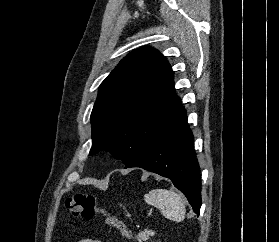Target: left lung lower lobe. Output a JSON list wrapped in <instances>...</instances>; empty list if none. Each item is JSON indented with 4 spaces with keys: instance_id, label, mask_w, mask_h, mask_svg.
I'll return each instance as SVG.
<instances>
[{
    "instance_id": "obj_1",
    "label": "left lung lower lobe",
    "mask_w": 279,
    "mask_h": 242,
    "mask_svg": "<svg viewBox=\"0 0 279 242\" xmlns=\"http://www.w3.org/2000/svg\"><path fill=\"white\" fill-rule=\"evenodd\" d=\"M140 167L169 178L188 199L194 212L201 207L200 168L186 110L180 119L125 168Z\"/></svg>"
}]
</instances>
